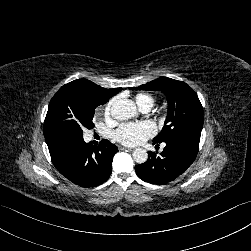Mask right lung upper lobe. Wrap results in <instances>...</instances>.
I'll use <instances>...</instances> for the list:
<instances>
[{
	"mask_svg": "<svg viewBox=\"0 0 251 251\" xmlns=\"http://www.w3.org/2000/svg\"><path fill=\"white\" fill-rule=\"evenodd\" d=\"M66 89L80 101L92 108L105 104L110 97L121 91L122 88L106 89L87 79H77L61 87Z\"/></svg>",
	"mask_w": 251,
	"mask_h": 251,
	"instance_id": "1",
	"label": "right lung upper lobe"
}]
</instances>
